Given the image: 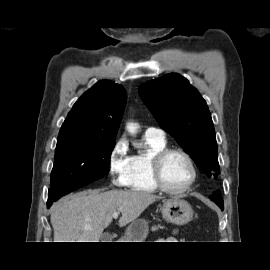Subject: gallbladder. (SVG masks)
Returning a JSON list of instances; mask_svg holds the SVG:
<instances>
[{
  "mask_svg": "<svg viewBox=\"0 0 270 270\" xmlns=\"http://www.w3.org/2000/svg\"><path fill=\"white\" fill-rule=\"evenodd\" d=\"M101 238H102V240H105L106 242H109L112 239V236L110 234L106 233V234H103L101 236Z\"/></svg>",
  "mask_w": 270,
  "mask_h": 270,
  "instance_id": "bac80fb5",
  "label": "gallbladder"
}]
</instances>
